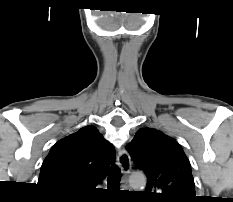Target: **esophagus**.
<instances>
[{"mask_svg":"<svg viewBox=\"0 0 233 202\" xmlns=\"http://www.w3.org/2000/svg\"><path fill=\"white\" fill-rule=\"evenodd\" d=\"M118 164L121 168L122 173L126 176L131 170V158L125 149H122L117 157Z\"/></svg>","mask_w":233,"mask_h":202,"instance_id":"1","label":"esophagus"}]
</instances>
